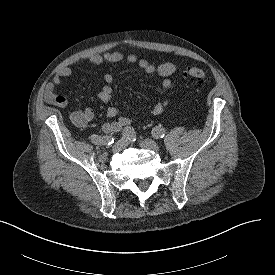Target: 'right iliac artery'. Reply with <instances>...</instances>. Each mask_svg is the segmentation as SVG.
Wrapping results in <instances>:
<instances>
[{
    "instance_id": "1",
    "label": "right iliac artery",
    "mask_w": 275,
    "mask_h": 275,
    "mask_svg": "<svg viewBox=\"0 0 275 275\" xmlns=\"http://www.w3.org/2000/svg\"><path fill=\"white\" fill-rule=\"evenodd\" d=\"M122 135L126 139H133L135 136L134 129L132 127H126L123 130ZM90 139L94 144L98 145H110L115 141L112 136H98L95 134L91 135Z\"/></svg>"
}]
</instances>
